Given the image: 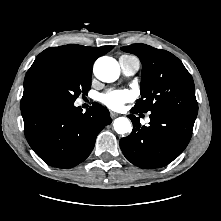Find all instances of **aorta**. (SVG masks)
Returning <instances> with one entry per match:
<instances>
[{"label": "aorta", "instance_id": "aorta-1", "mask_svg": "<svg viewBox=\"0 0 221 221\" xmlns=\"http://www.w3.org/2000/svg\"><path fill=\"white\" fill-rule=\"evenodd\" d=\"M94 74L103 82H114L119 77L120 67L115 59L111 57H101L97 59L94 64ZM113 126L118 134H125L131 130V123L126 117L115 119Z\"/></svg>", "mask_w": 221, "mask_h": 221}]
</instances>
